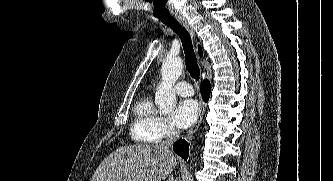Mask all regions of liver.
<instances>
[{"label":"liver","mask_w":333,"mask_h":181,"mask_svg":"<svg viewBox=\"0 0 333 181\" xmlns=\"http://www.w3.org/2000/svg\"><path fill=\"white\" fill-rule=\"evenodd\" d=\"M175 164L174 155L161 145L123 146L100 163L91 181H161Z\"/></svg>","instance_id":"1"}]
</instances>
